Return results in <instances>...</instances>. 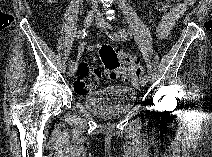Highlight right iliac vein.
<instances>
[{"instance_id": "right-iliac-vein-1", "label": "right iliac vein", "mask_w": 212, "mask_h": 157, "mask_svg": "<svg viewBox=\"0 0 212 157\" xmlns=\"http://www.w3.org/2000/svg\"><path fill=\"white\" fill-rule=\"evenodd\" d=\"M94 21V14L93 13H88L83 21V26L84 27H89L92 22ZM75 69L73 67H70L68 70V76L73 77L74 76Z\"/></svg>"}]
</instances>
